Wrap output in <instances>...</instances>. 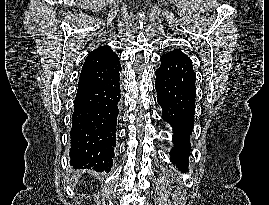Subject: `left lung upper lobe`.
<instances>
[{
    "label": "left lung upper lobe",
    "mask_w": 269,
    "mask_h": 205,
    "mask_svg": "<svg viewBox=\"0 0 269 205\" xmlns=\"http://www.w3.org/2000/svg\"><path fill=\"white\" fill-rule=\"evenodd\" d=\"M167 54L187 57L186 54H184L181 50H178V49H174L173 51H171V52H169Z\"/></svg>",
    "instance_id": "left-lung-upper-lobe-1"
}]
</instances>
